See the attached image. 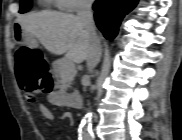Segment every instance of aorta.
Returning a JSON list of instances; mask_svg holds the SVG:
<instances>
[{
    "instance_id": "obj_1",
    "label": "aorta",
    "mask_w": 182,
    "mask_h": 140,
    "mask_svg": "<svg viewBox=\"0 0 182 140\" xmlns=\"http://www.w3.org/2000/svg\"><path fill=\"white\" fill-rule=\"evenodd\" d=\"M91 117L92 114L88 111L82 118L79 126V134L84 140L91 139Z\"/></svg>"
}]
</instances>
